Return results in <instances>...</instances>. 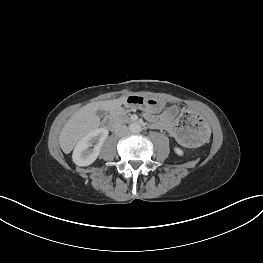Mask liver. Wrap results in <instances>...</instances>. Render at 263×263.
<instances>
[{
    "label": "liver",
    "instance_id": "obj_1",
    "mask_svg": "<svg viewBox=\"0 0 263 263\" xmlns=\"http://www.w3.org/2000/svg\"><path fill=\"white\" fill-rule=\"evenodd\" d=\"M126 96L114 100L89 103L81 107L64 125L59 135V143L65 154L70 153L75 145L88 133L100 126L98 110L112 111L125 104Z\"/></svg>",
    "mask_w": 263,
    "mask_h": 263
}]
</instances>
